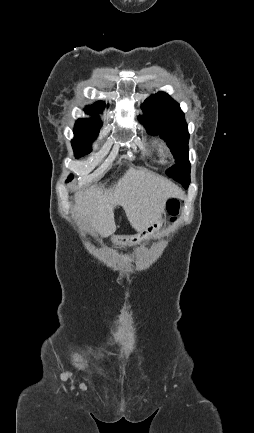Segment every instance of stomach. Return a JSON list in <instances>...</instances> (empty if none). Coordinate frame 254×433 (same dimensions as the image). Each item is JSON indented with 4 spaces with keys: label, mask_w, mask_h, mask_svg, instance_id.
<instances>
[{
    "label": "stomach",
    "mask_w": 254,
    "mask_h": 433,
    "mask_svg": "<svg viewBox=\"0 0 254 433\" xmlns=\"http://www.w3.org/2000/svg\"><path fill=\"white\" fill-rule=\"evenodd\" d=\"M163 223H164V220L162 218H159L157 221L153 222L145 230L139 232L137 235H134V236H114L112 238V240L116 245L132 246V245L140 243L141 241L148 239L149 237L156 236L159 233L160 229L162 228Z\"/></svg>",
    "instance_id": "0dacf381"
}]
</instances>
